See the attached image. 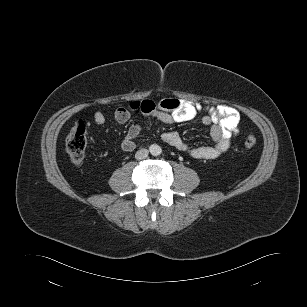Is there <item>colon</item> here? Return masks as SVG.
<instances>
[{
  "label": "colon",
  "instance_id": "colon-1",
  "mask_svg": "<svg viewBox=\"0 0 307 307\" xmlns=\"http://www.w3.org/2000/svg\"><path fill=\"white\" fill-rule=\"evenodd\" d=\"M87 145V130L83 122H78L70 131L66 139V150L75 164H79L84 159ZM243 145L246 149H252L256 145V139L252 135L244 138Z\"/></svg>",
  "mask_w": 307,
  "mask_h": 307
}]
</instances>
